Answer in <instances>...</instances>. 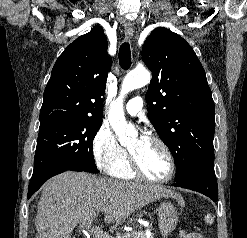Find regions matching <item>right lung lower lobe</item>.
I'll use <instances>...</instances> for the list:
<instances>
[{"label":"right lung lower lobe","instance_id":"obj_1","mask_svg":"<svg viewBox=\"0 0 247 238\" xmlns=\"http://www.w3.org/2000/svg\"><path fill=\"white\" fill-rule=\"evenodd\" d=\"M68 168H62V167H58V168H54L51 170H48L47 172H45L43 174V176L35 181V182H30L29 184V189H28V199L43 185V183L45 181H47L49 178L60 174L62 172L68 171Z\"/></svg>","mask_w":247,"mask_h":238}]
</instances>
